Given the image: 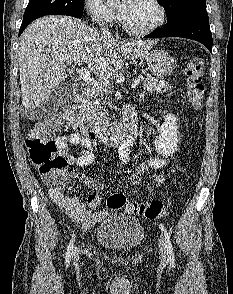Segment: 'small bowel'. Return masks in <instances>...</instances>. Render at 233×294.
<instances>
[{
	"instance_id": "1",
	"label": "small bowel",
	"mask_w": 233,
	"mask_h": 294,
	"mask_svg": "<svg viewBox=\"0 0 233 294\" xmlns=\"http://www.w3.org/2000/svg\"><path fill=\"white\" fill-rule=\"evenodd\" d=\"M58 150L67 159L68 165L84 167L90 165L94 160L93 146L91 141L86 139L83 135L73 132L68 136H60L56 139ZM70 146H81V155L76 156L70 151ZM121 161L127 162L129 160V149L127 145H122L119 151ZM166 165V160L163 158L155 157L142 160L138 168L133 172L130 177V182L133 185H138L144 174L150 173L152 170H160ZM79 179L81 183L88 188L95 190H102L105 185L91 177L80 174ZM166 174L162 172L159 175H152V179L161 183L165 180ZM49 187V195L51 199L77 224L83 229L90 228L107 214L105 210L91 211L87 209L85 203L78 195L67 196L61 189L54 188L49 180L45 178ZM88 204L91 208H99L101 205V198L97 195L88 196Z\"/></svg>"
}]
</instances>
